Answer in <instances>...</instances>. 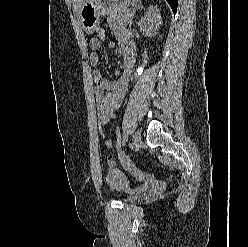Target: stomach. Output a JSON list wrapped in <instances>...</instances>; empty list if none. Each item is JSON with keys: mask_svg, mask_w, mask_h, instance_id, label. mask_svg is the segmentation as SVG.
I'll list each match as a JSON object with an SVG mask.
<instances>
[{"mask_svg": "<svg viewBox=\"0 0 248 247\" xmlns=\"http://www.w3.org/2000/svg\"><path fill=\"white\" fill-rule=\"evenodd\" d=\"M139 0H86L78 11L83 30L92 34L100 23V15L124 10Z\"/></svg>", "mask_w": 248, "mask_h": 247, "instance_id": "1", "label": "stomach"}]
</instances>
